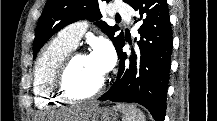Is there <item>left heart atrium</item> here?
I'll return each instance as SVG.
<instances>
[{
  "mask_svg": "<svg viewBox=\"0 0 217 121\" xmlns=\"http://www.w3.org/2000/svg\"><path fill=\"white\" fill-rule=\"evenodd\" d=\"M90 59L99 67L103 74L110 69L113 63L112 52L105 46L97 47L90 55Z\"/></svg>",
  "mask_w": 217,
  "mask_h": 121,
  "instance_id": "1",
  "label": "left heart atrium"
}]
</instances>
